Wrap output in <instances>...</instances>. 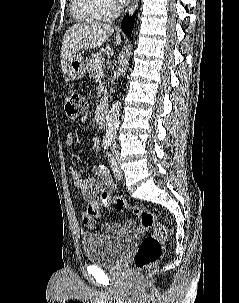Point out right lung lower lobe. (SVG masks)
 <instances>
[{
	"instance_id": "1",
	"label": "right lung lower lobe",
	"mask_w": 239,
	"mask_h": 303,
	"mask_svg": "<svg viewBox=\"0 0 239 303\" xmlns=\"http://www.w3.org/2000/svg\"><path fill=\"white\" fill-rule=\"evenodd\" d=\"M135 17H136V14L134 16L130 17V18L127 15L126 17H124V19L122 21V24H121L122 30L128 36H131V32H132V29H133Z\"/></svg>"
}]
</instances>
